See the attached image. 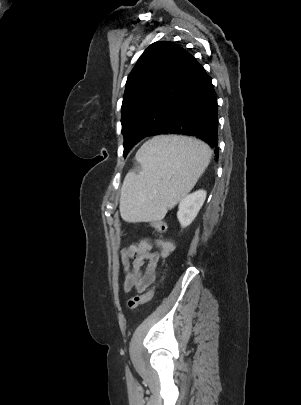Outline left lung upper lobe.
Here are the masks:
<instances>
[{"label":"left lung upper lobe","mask_w":301,"mask_h":405,"mask_svg":"<svg viewBox=\"0 0 301 405\" xmlns=\"http://www.w3.org/2000/svg\"><path fill=\"white\" fill-rule=\"evenodd\" d=\"M194 57L173 42L151 44L129 74L122 102L124 155L135 138L153 136L177 98Z\"/></svg>","instance_id":"1"}]
</instances>
